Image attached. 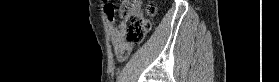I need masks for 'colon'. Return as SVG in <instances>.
<instances>
[{
  "mask_svg": "<svg viewBox=\"0 0 279 82\" xmlns=\"http://www.w3.org/2000/svg\"><path fill=\"white\" fill-rule=\"evenodd\" d=\"M144 1L141 0H123L119 8V16L122 19V29L125 34L126 43L132 47L140 44L150 29L148 17L156 14V7L152 1H147L144 10L140 9ZM131 49L124 51L126 58Z\"/></svg>",
  "mask_w": 279,
  "mask_h": 82,
  "instance_id": "colon-1",
  "label": "colon"
}]
</instances>
